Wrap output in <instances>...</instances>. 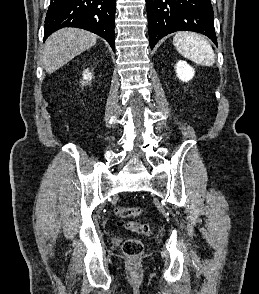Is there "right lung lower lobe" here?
<instances>
[{
	"label": "right lung lower lobe",
	"instance_id": "1",
	"mask_svg": "<svg viewBox=\"0 0 259 294\" xmlns=\"http://www.w3.org/2000/svg\"><path fill=\"white\" fill-rule=\"evenodd\" d=\"M116 0H51L44 25V40L63 27H78L101 36L115 51Z\"/></svg>",
	"mask_w": 259,
	"mask_h": 294
}]
</instances>
